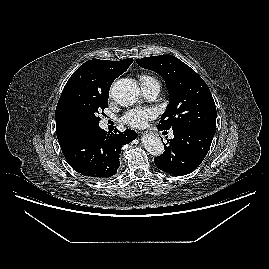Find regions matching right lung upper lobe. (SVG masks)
I'll return each mask as SVG.
<instances>
[{"instance_id":"obj_1","label":"right lung upper lobe","mask_w":269,"mask_h":269,"mask_svg":"<svg viewBox=\"0 0 269 269\" xmlns=\"http://www.w3.org/2000/svg\"><path fill=\"white\" fill-rule=\"evenodd\" d=\"M132 62V58L121 61L95 59L81 65L67 81L58 101L55 112L57 136L80 129L69 123L63 113V101L71 89L79 87L88 91L109 92L113 81L123 74Z\"/></svg>"}]
</instances>
